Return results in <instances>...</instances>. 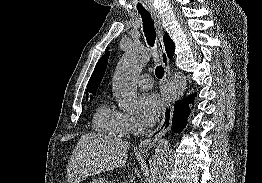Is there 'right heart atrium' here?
<instances>
[{"mask_svg":"<svg viewBox=\"0 0 262 183\" xmlns=\"http://www.w3.org/2000/svg\"><path fill=\"white\" fill-rule=\"evenodd\" d=\"M125 127L128 133H134L138 129L136 120L131 115H124Z\"/></svg>","mask_w":262,"mask_h":183,"instance_id":"right-heart-atrium-1","label":"right heart atrium"}]
</instances>
